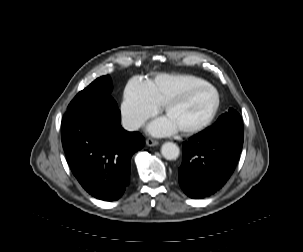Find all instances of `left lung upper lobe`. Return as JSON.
<instances>
[{
  "label": "left lung upper lobe",
  "instance_id": "obj_1",
  "mask_svg": "<svg viewBox=\"0 0 303 252\" xmlns=\"http://www.w3.org/2000/svg\"><path fill=\"white\" fill-rule=\"evenodd\" d=\"M203 132L207 134H243L242 118L237 111L230 108L228 112L218 118L213 126Z\"/></svg>",
  "mask_w": 303,
  "mask_h": 252
}]
</instances>
